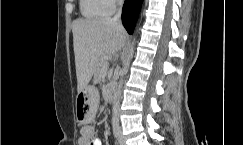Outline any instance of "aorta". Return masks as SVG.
I'll return each instance as SVG.
<instances>
[{"instance_id":"1","label":"aorta","mask_w":243,"mask_h":145,"mask_svg":"<svg viewBox=\"0 0 243 145\" xmlns=\"http://www.w3.org/2000/svg\"><path fill=\"white\" fill-rule=\"evenodd\" d=\"M134 53V40L132 41V44L129 49L128 57L127 60L124 64V67L121 70V77L117 86V91L115 92L114 99H113V105H112V113H113V119L118 118V111H119V106H120V97H121V90L124 82V75H126L128 66L130 63V60L133 57Z\"/></svg>"}]
</instances>
